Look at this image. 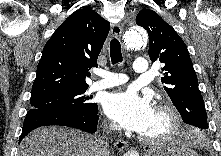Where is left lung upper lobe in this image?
<instances>
[{"label": "left lung upper lobe", "instance_id": "obj_1", "mask_svg": "<svg viewBox=\"0 0 221 156\" xmlns=\"http://www.w3.org/2000/svg\"><path fill=\"white\" fill-rule=\"evenodd\" d=\"M136 23L148 32V53L151 61L159 60L163 63L161 81L183 121L201 130L207 129L203 97L183 40L168 23L150 9L141 10L136 16Z\"/></svg>", "mask_w": 221, "mask_h": 156}]
</instances>
